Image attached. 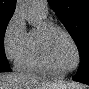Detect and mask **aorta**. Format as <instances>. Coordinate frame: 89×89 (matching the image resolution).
Segmentation results:
<instances>
[{
	"instance_id": "1",
	"label": "aorta",
	"mask_w": 89,
	"mask_h": 89,
	"mask_svg": "<svg viewBox=\"0 0 89 89\" xmlns=\"http://www.w3.org/2000/svg\"><path fill=\"white\" fill-rule=\"evenodd\" d=\"M18 8L30 25H36L40 21L41 18L36 9L35 0H19Z\"/></svg>"
}]
</instances>
